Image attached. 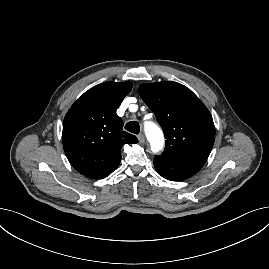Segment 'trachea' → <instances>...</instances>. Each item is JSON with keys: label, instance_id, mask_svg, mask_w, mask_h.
Masks as SVG:
<instances>
[{"label": "trachea", "instance_id": "3493384b", "mask_svg": "<svg viewBox=\"0 0 269 269\" xmlns=\"http://www.w3.org/2000/svg\"><path fill=\"white\" fill-rule=\"evenodd\" d=\"M125 129L131 133L139 134L140 125L137 121H130L125 125Z\"/></svg>", "mask_w": 269, "mask_h": 269}]
</instances>
